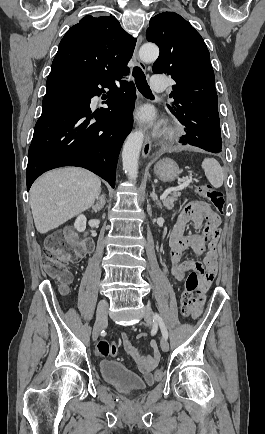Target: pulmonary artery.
<instances>
[{
	"mask_svg": "<svg viewBox=\"0 0 265 434\" xmlns=\"http://www.w3.org/2000/svg\"><path fill=\"white\" fill-rule=\"evenodd\" d=\"M149 80L151 84H164L166 78L164 75H151Z\"/></svg>",
	"mask_w": 265,
	"mask_h": 434,
	"instance_id": "obj_1",
	"label": "pulmonary artery"
}]
</instances>
